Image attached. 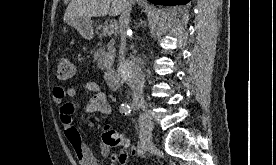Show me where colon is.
<instances>
[{
	"mask_svg": "<svg viewBox=\"0 0 276 165\" xmlns=\"http://www.w3.org/2000/svg\"><path fill=\"white\" fill-rule=\"evenodd\" d=\"M76 75V67L71 59L62 56L57 63V77L60 80H69ZM102 141L109 147H117L127 150L131 147L130 141L114 129L106 126L101 135ZM134 153V150H133Z\"/></svg>",
	"mask_w": 276,
	"mask_h": 165,
	"instance_id": "1",
	"label": "colon"
}]
</instances>
